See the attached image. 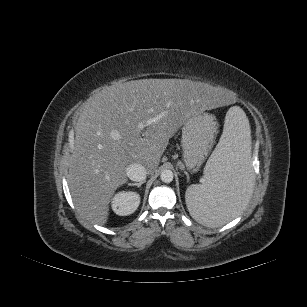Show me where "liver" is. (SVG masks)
I'll use <instances>...</instances> for the list:
<instances>
[{"label":"liver","instance_id":"6515ba94","mask_svg":"<svg viewBox=\"0 0 307 307\" xmlns=\"http://www.w3.org/2000/svg\"><path fill=\"white\" fill-rule=\"evenodd\" d=\"M229 101L212 86L188 79L133 80L90 97L76 122L69 162L68 185L79 213L105 225L113 194L127 182L126 168L138 163L155 170L169 139L190 116Z\"/></svg>","mask_w":307,"mask_h":307}]
</instances>
